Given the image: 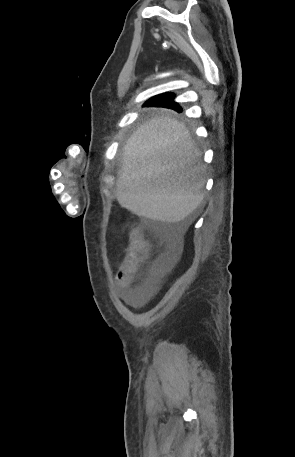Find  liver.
Masks as SVG:
<instances>
[{
	"mask_svg": "<svg viewBox=\"0 0 295 457\" xmlns=\"http://www.w3.org/2000/svg\"><path fill=\"white\" fill-rule=\"evenodd\" d=\"M185 125L161 115L140 125L123 149L115 184L121 207L161 222L178 223L201 204L205 167Z\"/></svg>",
	"mask_w": 295,
	"mask_h": 457,
	"instance_id": "obj_1",
	"label": "liver"
}]
</instances>
